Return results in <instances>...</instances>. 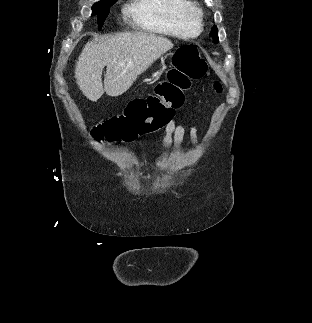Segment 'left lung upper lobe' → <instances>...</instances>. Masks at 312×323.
<instances>
[{
  "mask_svg": "<svg viewBox=\"0 0 312 323\" xmlns=\"http://www.w3.org/2000/svg\"><path fill=\"white\" fill-rule=\"evenodd\" d=\"M212 38L214 39V41H218V30L216 26H213L212 28Z\"/></svg>",
  "mask_w": 312,
  "mask_h": 323,
  "instance_id": "obj_1",
  "label": "left lung upper lobe"
}]
</instances>
